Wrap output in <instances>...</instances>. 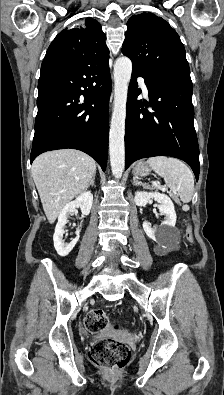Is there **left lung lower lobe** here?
I'll return each instance as SVG.
<instances>
[{
	"label": "left lung lower lobe",
	"mask_w": 224,
	"mask_h": 395,
	"mask_svg": "<svg viewBox=\"0 0 224 395\" xmlns=\"http://www.w3.org/2000/svg\"><path fill=\"white\" fill-rule=\"evenodd\" d=\"M143 77L152 111L137 100V77ZM192 83L135 69L129 85L125 125V169L134 161L153 156H172L185 161L199 177V147L194 128ZM141 108V109H140Z\"/></svg>",
	"instance_id": "left-lung-lower-lobe-1"
}]
</instances>
